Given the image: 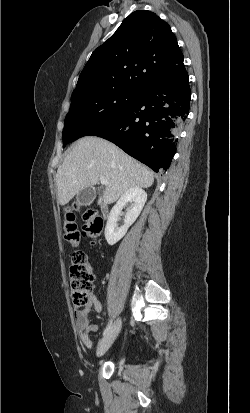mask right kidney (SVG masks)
Returning a JSON list of instances; mask_svg holds the SVG:
<instances>
[{"label":"right kidney","mask_w":250,"mask_h":413,"mask_svg":"<svg viewBox=\"0 0 250 413\" xmlns=\"http://www.w3.org/2000/svg\"><path fill=\"white\" fill-rule=\"evenodd\" d=\"M146 200L147 193L139 187L130 188L119 198L109 214L105 228V238L109 245L116 244L125 236L128 228L136 221L141 213ZM127 203H131V208L125 215L124 225L118 228L117 220L119 214Z\"/></svg>","instance_id":"right-kidney-1"}]
</instances>
